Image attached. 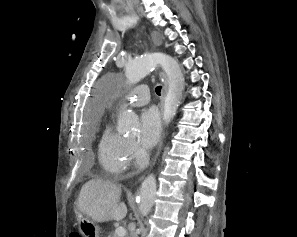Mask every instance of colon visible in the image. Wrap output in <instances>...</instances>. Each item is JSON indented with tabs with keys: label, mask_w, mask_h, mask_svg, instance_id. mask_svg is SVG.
<instances>
[{
	"label": "colon",
	"mask_w": 297,
	"mask_h": 237,
	"mask_svg": "<svg viewBox=\"0 0 297 237\" xmlns=\"http://www.w3.org/2000/svg\"><path fill=\"white\" fill-rule=\"evenodd\" d=\"M70 237H81L78 233H72Z\"/></svg>",
	"instance_id": "1"
}]
</instances>
